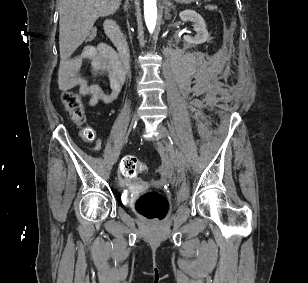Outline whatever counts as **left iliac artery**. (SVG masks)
<instances>
[{
    "instance_id": "1",
    "label": "left iliac artery",
    "mask_w": 308,
    "mask_h": 283,
    "mask_svg": "<svg viewBox=\"0 0 308 283\" xmlns=\"http://www.w3.org/2000/svg\"><path fill=\"white\" fill-rule=\"evenodd\" d=\"M168 138H169L170 142L172 143V139H171V137L169 136Z\"/></svg>"
}]
</instances>
